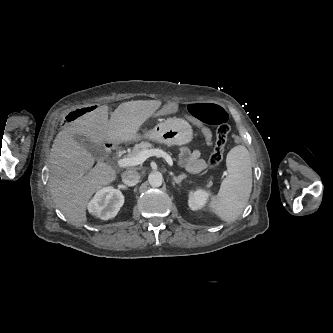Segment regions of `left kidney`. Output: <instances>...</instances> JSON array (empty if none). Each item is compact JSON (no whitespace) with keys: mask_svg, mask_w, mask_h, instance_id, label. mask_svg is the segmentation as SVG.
<instances>
[{"mask_svg":"<svg viewBox=\"0 0 333 333\" xmlns=\"http://www.w3.org/2000/svg\"><path fill=\"white\" fill-rule=\"evenodd\" d=\"M208 195L209 193L202 189L192 192L189 198V207L192 210H198L205 203V200L208 197Z\"/></svg>","mask_w":333,"mask_h":333,"instance_id":"1","label":"left kidney"}]
</instances>
